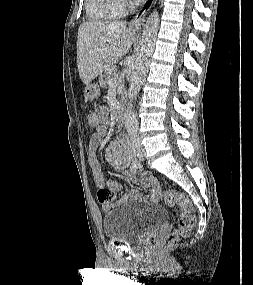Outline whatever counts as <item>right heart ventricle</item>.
<instances>
[{
    "label": "right heart ventricle",
    "mask_w": 253,
    "mask_h": 285,
    "mask_svg": "<svg viewBox=\"0 0 253 285\" xmlns=\"http://www.w3.org/2000/svg\"><path fill=\"white\" fill-rule=\"evenodd\" d=\"M87 17L92 21H107L119 18L124 13L123 0H85Z\"/></svg>",
    "instance_id": "1"
}]
</instances>
